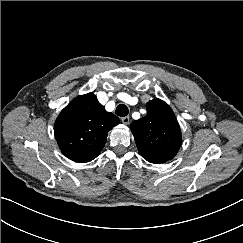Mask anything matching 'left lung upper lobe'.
I'll use <instances>...</instances> for the list:
<instances>
[{
    "instance_id": "1",
    "label": "left lung upper lobe",
    "mask_w": 243,
    "mask_h": 243,
    "mask_svg": "<svg viewBox=\"0 0 243 243\" xmlns=\"http://www.w3.org/2000/svg\"><path fill=\"white\" fill-rule=\"evenodd\" d=\"M147 115L132 122L131 131L140 154L150 163H165L175 157L182 137L172 109L156 98L147 103Z\"/></svg>"
}]
</instances>
